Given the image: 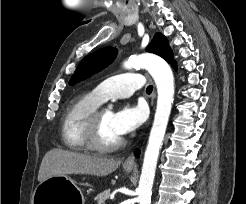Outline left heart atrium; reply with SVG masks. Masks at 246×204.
Instances as JSON below:
<instances>
[{
	"label": "left heart atrium",
	"instance_id": "39dd6f15",
	"mask_svg": "<svg viewBox=\"0 0 246 204\" xmlns=\"http://www.w3.org/2000/svg\"><path fill=\"white\" fill-rule=\"evenodd\" d=\"M146 119V110L142 105L125 106L113 114V125L120 136L136 130Z\"/></svg>",
	"mask_w": 246,
	"mask_h": 204
}]
</instances>
